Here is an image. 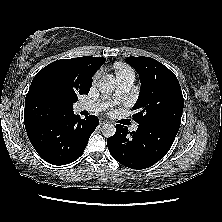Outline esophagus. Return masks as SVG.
Wrapping results in <instances>:
<instances>
[{
    "instance_id": "obj_1",
    "label": "esophagus",
    "mask_w": 222,
    "mask_h": 222,
    "mask_svg": "<svg viewBox=\"0 0 222 222\" xmlns=\"http://www.w3.org/2000/svg\"><path fill=\"white\" fill-rule=\"evenodd\" d=\"M105 123H107L106 120H101V121H100V124H101V125H103V124H105Z\"/></svg>"
}]
</instances>
